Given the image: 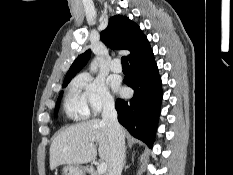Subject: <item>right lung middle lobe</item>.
I'll use <instances>...</instances> for the list:
<instances>
[{"instance_id":"right-lung-middle-lobe-1","label":"right lung middle lobe","mask_w":233,"mask_h":175,"mask_svg":"<svg viewBox=\"0 0 233 175\" xmlns=\"http://www.w3.org/2000/svg\"><path fill=\"white\" fill-rule=\"evenodd\" d=\"M69 82H70V80L64 81V82H63V87H66L67 84H68ZM61 97H62V92L60 93L59 98H58V101H57V104H56V109H55V113H56V114H57V112H58V107H59V103H60Z\"/></svg>"}]
</instances>
